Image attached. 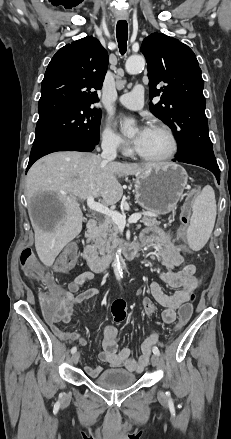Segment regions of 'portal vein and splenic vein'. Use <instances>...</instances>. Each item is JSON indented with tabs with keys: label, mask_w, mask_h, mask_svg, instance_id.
Here are the masks:
<instances>
[{
	"label": "portal vein and splenic vein",
	"mask_w": 231,
	"mask_h": 439,
	"mask_svg": "<svg viewBox=\"0 0 231 439\" xmlns=\"http://www.w3.org/2000/svg\"><path fill=\"white\" fill-rule=\"evenodd\" d=\"M87 206L89 209L95 212H99L101 214L110 217L113 220V222L119 227H124L126 225V222L136 223L141 218V214H133L126 221V217L124 215H121L117 211L110 210L107 206H105L102 203L96 202L93 196H89L87 198Z\"/></svg>",
	"instance_id": "1"
}]
</instances>
